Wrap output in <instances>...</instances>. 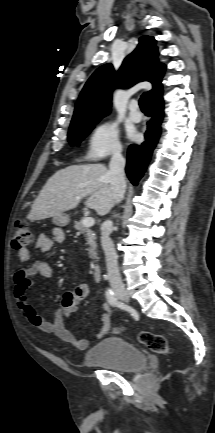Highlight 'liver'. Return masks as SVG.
Here are the masks:
<instances>
[{
	"instance_id": "liver-1",
	"label": "liver",
	"mask_w": 215,
	"mask_h": 433,
	"mask_svg": "<svg viewBox=\"0 0 215 433\" xmlns=\"http://www.w3.org/2000/svg\"><path fill=\"white\" fill-rule=\"evenodd\" d=\"M85 196H89L86 206L98 215L107 214L113 207L115 200L105 165H71L57 171L34 200L28 219L35 221L58 216L74 209Z\"/></svg>"
}]
</instances>
